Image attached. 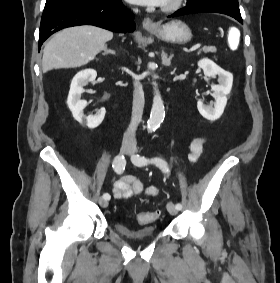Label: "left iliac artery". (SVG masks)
I'll use <instances>...</instances> for the list:
<instances>
[{"mask_svg": "<svg viewBox=\"0 0 280 283\" xmlns=\"http://www.w3.org/2000/svg\"><path fill=\"white\" fill-rule=\"evenodd\" d=\"M132 161L139 166L147 165L148 163H153L157 167H159L163 172L169 173V167H168L167 163L161 158H153V159L149 160V159L145 158L144 156L136 155L132 158ZM176 208L178 210H180L182 208V205L180 203H178V204H176Z\"/></svg>", "mask_w": 280, "mask_h": 283, "instance_id": "obj_1", "label": "left iliac artery"}]
</instances>
